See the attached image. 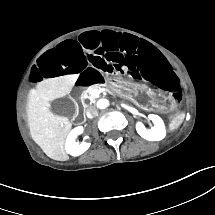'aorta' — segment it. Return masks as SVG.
<instances>
[{
	"mask_svg": "<svg viewBox=\"0 0 215 215\" xmlns=\"http://www.w3.org/2000/svg\"><path fill=\"white\" fill-rule=\"evenodd\" d=\"M108 106H109V100H107L105 98L99 99L98 102H97V107L99 109H105Z\"/></svg>",
	"mask_w": 215,
	"mask_h": 215,
	"instance_id": "762f6f07",
	"label": "aorta"
}]
</instances>
